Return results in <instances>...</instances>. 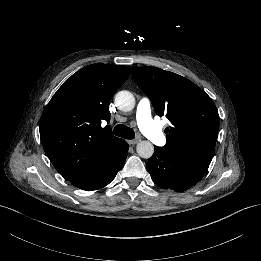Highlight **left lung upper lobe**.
Returning <instances> with one entry per match:
<instances>
[{"mask_svg": "<svg viewBox=\"0 0 261 261\" xmlns=\"http://www.w3.org/2000/svg\"><path fill=\"white\" fill-rule=\"evenodd\" d=\"M133 78L150 98L166 128L171 152L198 154L211 159L219 129V115L211 98L190 80L157 67H133Z\"/></svg>", "mask_w": 261, "mask_h": 261, "instance_id": "left-lung-upper-lobe-1", "label": "left lung upper lobe"}]
</instances>
